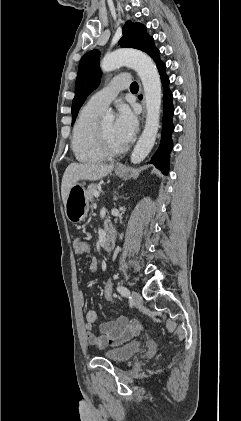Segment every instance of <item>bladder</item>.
I'll return each instance as SVG.
<instances>
[{
    "mask_svg": "<svg viewBox=\"0 0 241 421\" xmlns=\"http://www.w3.org/2000/svg\"><path fill=\"white\" fill-rule=\"evenodd\" d=\"M143 348L139 341H133L105 352L104 356L112 362L121 363L130 360Z\"/></svg>",
    "mask_w": 241,
    "mask_h": 421,
    "instance_id": "1",
    "label": "bladder"
}]
</instances>
